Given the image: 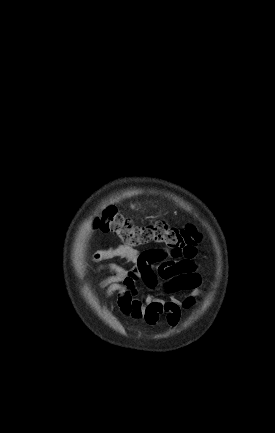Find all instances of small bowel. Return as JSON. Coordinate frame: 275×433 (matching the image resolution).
<instances>
[{"label": "small bowel", "mask_w": 275, "mask_h": 433, "mask_svg": "<svg viewBox=\"0 0 275 433\" xmlns=\"http://www.w3.org/2000/svg\"><path fill=\"white\" fill-rule=\"evenodd\" d=\"M165 256L166 252L160 249L137 251L123 245L99 250L93 255L95 262L120 257L134 264L129 269L116 264L102 266L99 270L110 275L101 281L99 288L104 290L106 298L116 296L123 315L148 325H155L164 315L168 325L174 327L181 311L195 304L202 277L197 271L195 255L172 260H166ZM139 283L150 293L141 294ZM181 292L185 295L177 296Z\"/></svg>", "instance_id": "1"}]
</instances>
